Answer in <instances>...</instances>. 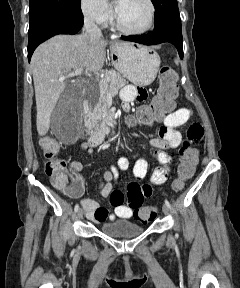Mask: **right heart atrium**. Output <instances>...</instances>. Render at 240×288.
Listing matches in <instances>:
<instances>
[{
	"mask_svg": "<svg viewBox=\"0 0 240 288\" xmlns=\"http://www.w3.org/2000/svg\"><path fill=\"white\" fill-rule=\"evenodd\" d=\"M83 15L98 24H105L112 19V10L105 0H80Z\"/></svg>",
	"mask_w": 240,
	"mask_h": 288,
	"instance_id": "1",
	"label": "right heart atrium"
}]
</instances>
